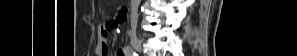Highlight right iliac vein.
I'll list each match as a JSON object with an SVG mask.
<instances>
[{
  "label": "right iliac vein",
  "instance_id": "right-iliac-vein-1",
  "mask_svg": "<svg viewBox=\"0 0 297 56\" xmlns=\"http://www.w3.org/2000/svg\"><path fill=\"white\" fill-rule=\"evenodd\" d=\"M131 45L136 51L142 50L141 41L136 36L131 37Z\"/></svg>",
  "mask_w": 297,
  "mask_h": 56
}]
</instances>
